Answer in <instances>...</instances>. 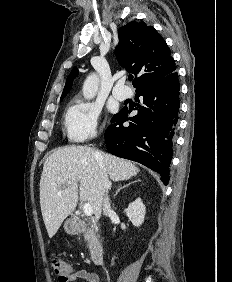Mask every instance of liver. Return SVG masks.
<instances>
[{"label":"liver","instance_id":"6515ba94","mask_svg":"<svg viewBox=\"0 0 232 282\" xmlns=\"http://www.w3.org/2000/svg\"><path fill=\"white\" fill-rule=\"evenodd\" d=\"M96 152L90 147L72 145L55 150L45 160L40 180V206L50 238L75 210L78 200L89 202L95 217L101 216L104 188ZM98 153L113 181L128 180L139 173L138 167L127 160Z\"/></svg>","mask_w":232,"mask_h":282}]
</instances>
